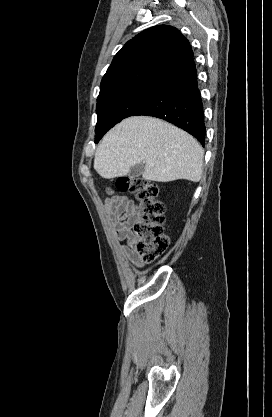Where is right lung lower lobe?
Segmentation results:
<instances>
[{"label": "right lung lower lobe", "mask_w": 272, "mask_h": 417, "mask_svg": "<svg viewBox=\"0 0 272 417\" xmlns=\"http://www.w3.org/2000/svg\"><path fill=\"white\" fill-rule=\"evenodd\" d=\"M162 118L205 143L204 113L194 61L165 81L155 95L133 116Z\"/></svg>", "instance_id": "98d812e1"}]
</instances>
